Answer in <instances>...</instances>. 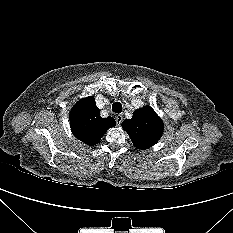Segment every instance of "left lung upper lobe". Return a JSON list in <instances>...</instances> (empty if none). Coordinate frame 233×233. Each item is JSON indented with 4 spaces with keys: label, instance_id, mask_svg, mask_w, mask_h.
<instances>
[{
    "label": "left lung upper lobe",
    "instance_id": "1",
    "mask_svg": "<svg viewBox=\"0 0 233 233\" xmlns=\"http://www.w3.org/2000/svg\"><path fill=\"white\" fill-rule=\"evenodd\" d=\"M133 145L139 149H148L155 145L163 134V122L155 111L149 107L137 109L131 119L122 123Z\"/></svg>",
    "mask_w": 233,
    "mask_h": 233
}]
</instances>
